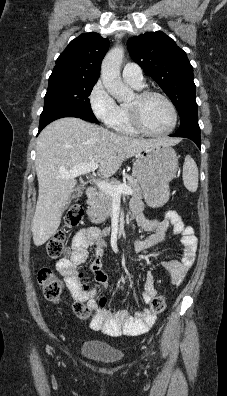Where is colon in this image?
<instances>
[{
    "label": "colon",
    "instance_id": "1",
    "mask_svg": "<svg viewBox=\"0 0 227 396\" xmlns=\"http://www.w3.org/2000/svg\"><path fill=\"white\" fill-rule=\"evenodd\" d=\"M83 218V208L79 203L73 204L67 212L65 224L68 228L78 226ZM46 252L51 259H63L68 253L65 232L60 230L56 232L46 243ZM37 279L39 285L43 289L44 296L53 302L60 300L63 292V283L57 275L47 267H43L38 271ZM166 299L163 296H157L150 303V310L157 315L162 313L166 308ZM75 316L82 320L91 318V309L82 302H75L72 306Z\"/></svg>",
    "mask_w": 227,
    "mask_h": 396
}]
</instances>
